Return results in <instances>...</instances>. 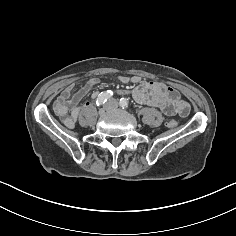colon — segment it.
Returning <instances> with one entry per match:
<instances>
[{
    "label": "colon",
    "mask_w": 236,
    "mask_h": 236,
    "mask_svg": "<svg viewBox=\"0 0 236 236\" xmlns=\"http://www.w3.org/2000/svg\"><path fill=\"white\" fill-rule=\"evenodd\" d=\"M170 126H171V127L176 126V122H175V121H171V122H170Z\"/></svg>",
    "instance_id": "colon-1"
}]
</instances>
